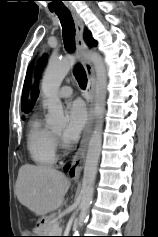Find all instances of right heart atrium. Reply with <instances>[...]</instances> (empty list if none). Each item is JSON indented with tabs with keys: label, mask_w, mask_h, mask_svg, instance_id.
Instances as JSON below:
<instances>
[{
	"label": "right heart atrium",
	"mask_w": 158,
	"mask_h": 237,
	"mask_svg": "<svg viewBox=\"0 0 158 237\" xmlns=\"http://www.w3.org/2000/svg\"><path fill=\"white\" fill-rule=\"evenodd\" d=\"M55 141H56V144L58 143V141L55 139Z\"/></svg>",
	"instance_id": "obj_1"
}]
</instances>
